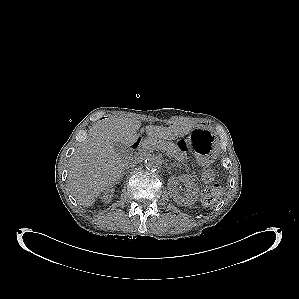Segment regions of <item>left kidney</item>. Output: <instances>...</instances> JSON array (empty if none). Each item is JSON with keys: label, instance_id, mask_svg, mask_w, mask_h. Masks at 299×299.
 <instances>
[{"label": "left kidney", "instance_id": "1", "mask_svg": "<svg viewBox=\"0 0 299 299\" xmlns=\"http://www.w3.org/2000/svg\"><path fill=\"white\" fill-rule=\"evenodd\" d=\"M179 180L182 181L186 186L187 193L185 196H181L176 190ZM179 180L174 176H171L168 179L169 192L176 203L184 206H191L197 200L199 192V189L195 184V180L189 175H183L179 178Z\"/></svg>", "mask_w": 299, "mask_h": 299}]
</instances>
